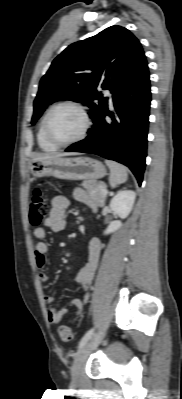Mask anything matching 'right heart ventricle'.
<instances>
[{"mask_svg": "<svg viewBox=\"0 0 182 399\" xmlns=\"http://www.w3.org/2000/svg\"><path fill=\"white\" fill-rule=\"evenodd\" d=\"M45 116L42 118L40 124H39V128H38V132H37V142L39 147L46 152H51V151H55L58 147H56L55 145H53L52 143H50L47 138L45 137L44 134V120H45Z\"/></svg>", "mask_w": 182, "mask_h": 399, "instance_id": "obj_1", "label": "right heart ventricle"}]
</instances>
